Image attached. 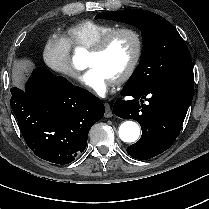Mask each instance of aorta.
I'll return each instance as SVG.
<instances>
[{
  "label": "aorta",
  "instance_id": "1",
  "mask_svg": "<svg viewBox=\"0 0 209 209\" xmlns=\"http://www.w3.org/2000/svg\"><path fill=\"white\" fill-rule=\"evenodd\" d=\"M80 56L78 55V52L73 57V63L76 68H82V65L78 62V59ZM119 137L123 142L132 143L135 142L140 135V127L139 125L134 121H125L123 122L118 130Z\"/></svg>",
  "mask_w": 209,
  "mask_h": 209
}]
</instances>
